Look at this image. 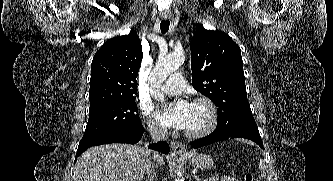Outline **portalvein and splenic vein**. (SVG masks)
I'll return each mask as SVG.
<instances>
[{
	"mask_svg": "<svg viewBox=\"0 0 333 181\" xmlns=\"http://www.w3.org/2000/svg\"><path fill=\"white\" fill-rule=\"evenodd\" d=\"M207 181H218V178L215 176L209 177Z\"/></svg>",
	"mask_w": 333,
	"mask_h": 181,
	"instance_id": "18ae733b",
	"label": "portal vein and splenic vein"
}]
</instances>
